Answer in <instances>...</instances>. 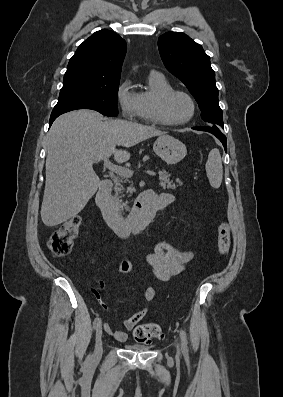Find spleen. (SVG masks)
Wrapping results in <instances>:
<instances>
[{
  "label": "spleen",
  "instance_id": "1",
  "mask_svg": "<svg viewBox=\"0 0 283 397\" xmlns=\"http://www.w3.org/2000/svg\"><path fill=\"white\" fill-rule=\"evenodd\" d=\"M206 173L210 185L213 188H219L223 178V167L220 152L216 148L212 149L208 154Z\"/></svg>",
  "mask_w": 283,
  "mask_h": 397
}]
</instances>
